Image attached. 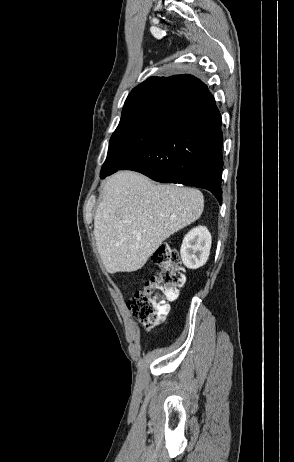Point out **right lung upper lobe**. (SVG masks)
I'll return each mask as SVG.
<instances>
[{"mask_svg": "<svg viewBox=\"0 0 294 462\" xmlns=\"http://www.w3.org/2000/svg\"><path fill=\"white\" fill-rule=\"evenodd\" d=\"M206 90H208L207 86L192 75H174L168 78L154 76L148 78L130 92L123 110L135 104L168 94H179L185 98L191 93L201 95Z\"/></svg>", "mask_w": 294, "mask_h": 462, "instance_id": "cb5924a9", "label": "right lung upper lobe"}]
</instances>
